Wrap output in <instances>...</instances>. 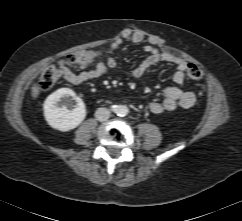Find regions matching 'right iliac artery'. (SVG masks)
<instances>
[{"label":"right iliac artery","instance_id":"right-iliac-artery-1","mask_svg":"<svg viewBox=\"0 0 242 221\" xmlns=\"http://www.w3.org/2000/svg\"><path fill=\"white\" fill-rule=\"evenodd\" d=\"M112 109L114 110L115 109V106H113Z\"/></svg>","mask_w":242,"mask_h":221}]
</instances>
